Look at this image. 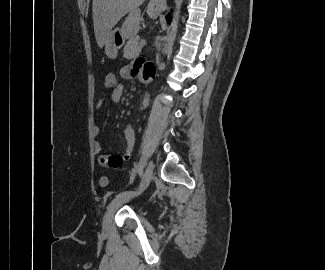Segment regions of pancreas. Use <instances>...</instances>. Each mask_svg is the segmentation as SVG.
<instances>
[{"instance_id": "obj_1", "label": "pancreas", "mask_w": 325, "mask_h": 270, "mask_svg": "<svg viewBox=\"0 0 325 270\" xmlns=\"http://www.w3.org/2000/svg\"><path fill=\"white\" fill-rule=\"evenodd\" d=\"M124 57L126 59H133L139 55L141 52V47L139 46V39L137 37L130 38L124 47Z\"/></svg>"}]
</instances>
